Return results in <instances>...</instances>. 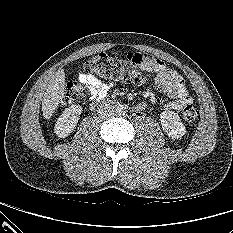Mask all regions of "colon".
Segmentation results:
<instances>
[{"mask_svg": "<svg viewBox=\"0 0 233 233\" xmlns=\"http://www.w3.org/2000/svg\"><path fill=\"white\" fill-rule=\"evenodd\" d=\"M82 69L87 73H94L117 82L138 83L144 79L140 68V60L127 56H110L105 53H99L87 61ZM85 96L86 89L76 81H70L66 85L63 102L71 104L83 99ZM197 117V109L192 105H187L183 111L184 120L192 123L196 121Z\"/></svg>", "mask_w": 233, "mask_h": 233, "instance_id": "colon-1", "label": "colon"}]
</instances>
